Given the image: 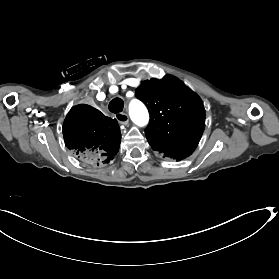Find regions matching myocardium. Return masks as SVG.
<instances>
[{
	"label": "myocardium",
	"instance_id": "1",
	"mask_svg": "<svg viewBox=\"0 0 279 279\" xmlns=\"http://www.w3.org/2000/svg\"><path fill=\"white\" fill-rule=\"evenodd\" d=\"M102 98H103V97H102ZM102 98H100V97L98 96V99H99V100H101ZM87 101H88V100H87Z\"/></svg>",
	"mask_w": 279,
	"mask_h": 279
}]
</instances>
